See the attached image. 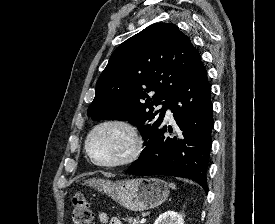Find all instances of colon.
I'll return each mask as SVG.
<instances>
[{
  "instance_id": "5ec220e1",
  "label": "colon",
  "mask_w": 275,
  "mask_h": 224,
  "mask_svg": "<svg viewBox=\"0 0 275 224\" xmlns=\"http://www.w3.org/2000/svg\"><path fill=\"white\" fill-rule=\"evenodd\" d=\"M72 202V223L92 224V211L85 197L82 194H75L73 196Z\"/></svg>"
}]
</instances>
